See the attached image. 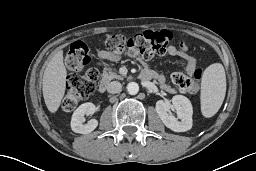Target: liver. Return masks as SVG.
<instances>
[{
    "label": "liver",
    "instance_id": "1",
    "mask_svg": "<svg viewBox=\"0 0 256 171\" xmlns=\"http://www.w3.org/2000/svg\"><path fill=\"white\" fill-rule=\"evenodd\" d=\"M67 71L63 62V51H57L49 61L43 74L42 91L45 104L55 113L65 94Z\"/></svg>",
    "mask_w": 256,
    "mask_h": 171
}]
</instances>
